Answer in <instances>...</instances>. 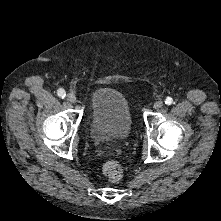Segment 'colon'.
Here are the masks:
<instances>
[{"label":"colon","instance_id":"1","mask_svg":"<svg viewBox=\"0 0 221 221\" xmlns=\"http://www.w3.org/2000/svg\"><path fill=\"white\" fill-rule=\"evenodd\" d=\"M105 176L111 181H119L123 176V169L119 162L110 160L103 166Z\"/></svg>","mask_w":221,"mask_h":221}]
</instances>
